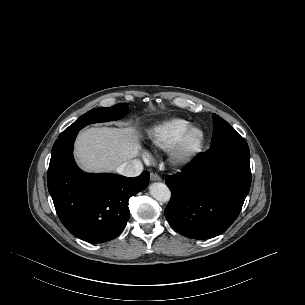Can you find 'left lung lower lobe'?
<instances>
[{
  "instance_id": "1",
  "label": "left lung lower lobe",
  "mask_w": 305,
  "mask_h": 305,
  "mask_svg": "<svg viewBox=\"0 0 305 305\" xmlns=\"http://www.w3.org/2000/svg\"><path fill=\"white\" fill-rule=\"evenodd\" d=\"M171 199L165 209L180 234L208 239L237 218L251 184L250 152L231 149L199 153L182 172L165 180Z\"/></svg>"
}]
</instances>
